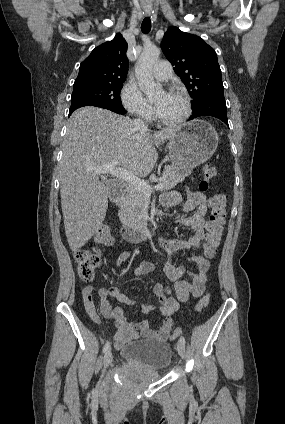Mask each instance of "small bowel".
I'll return each instance as SVG.
<instances>
[{
	"label": "small bowel",
	"mask_w": 285,
	"mask_h": 424,
	"mask_svg": "<svg viewBox=\"0 0 285 424\" xmlns=\"http://www.w3.org/2000/svg\"><path fill=\"white\" fill-rule=\"evenodd\" d=\"M180 202L181 194L178 191L168 192L162 197V206L164 208L175 207ZM207 207L208 202L204 193L187 190L183 211L186 213L194 211V213L190 216H182L176 221L188 228L191 234L187 239L160 240V245L166 253L164 272L170 280L175 282L174 295H172V290L169 287L154 282L152 290L158 300V305L142 304L140 306L143 313L158 310L161 322L157 328H151L146 320L128 321L121 308L113 307L110 304L108 297H113L122 304H135L130 297L122 293L117 287L112 286L99 290L102 313L105 318L113 321L116 326L114 345L117 349L122 348L127 342L141 337L155 340L168 339L174 326L172 315L179 309L180 302L187 301L191 297L203 295L210 267L208 258L212 257L206 254L205 246L203 245L204 240L207 238L206 230L208 229V223L205 221ZM187 250H195L196 253L187 257L183 264L175 266L173 264L174 257L178 253ZM202 252H204V255H202ZM130 257V251L121 252L117 258V267H120ZM192 265L195 266V271L192 270ZM153 269L154 265L152 263H142L137 268L136 275H145ZM185 277L190 278L191 282L186 280ZM94 291L95 289L91 285L84 287L83 303L90 319L94 323L99 324L100 316L93 300Z\"/></svg>",
	"instance_id": "small-bowel-1"
}]
</instances>
